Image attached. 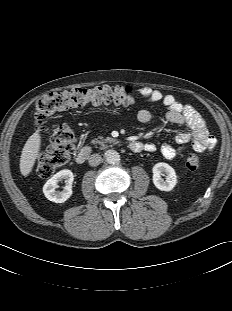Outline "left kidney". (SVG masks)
Returning <instances> with one entry per match:
<instances>
[{
	"label": "left kidney",
	"mask_w": 232,
	"mask_h": 311,
	"mask_svg": "<svg viewBox=\"0 0 232 311\" xmlns=\"http://www.w3.org/2000/svg\"><path fill=\"white\" fill-rule=\"evenodd\" d=\"M153 183L161 191H171L177 184L175 170L167 163L160 162L153 166ZM162 176H166L164 181Z\"/></svg>",
	"instance_id": "left-kidney-1"
}]
</instances>
